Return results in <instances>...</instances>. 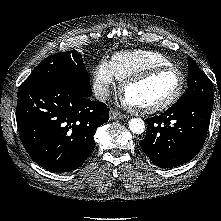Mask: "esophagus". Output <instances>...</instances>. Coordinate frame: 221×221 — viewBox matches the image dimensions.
I'll list each match as a JSON object with an SVG mask.
<instances>
[{"mask_svg":"<svg viewBox=\"0 0 221 221\" xmlns=\"http://www.w3.org/2000/svg\"><path fill=\"white\" fill-rule=\"evenodd\" d=\"M127 116L118 112L117 110H111L110 113H109V118L111 120H114V119H123V118H126Z\"/></svg>","mask_w":221,"mask_h":221,"instance_id":"1","label":"esophagus"}]
</instances>
